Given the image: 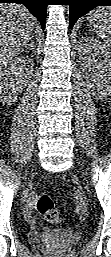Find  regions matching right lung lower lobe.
Wrapping results in <instances>:
<instances>
[{"instance_id":"1","label":"right lung lower lobe","mask_w":111,"mask_h":257,"mask_svg":"<svg viewBox=\"0 0 111 257\" xmlns=\"http://www.w3.org/2000/svg\"><path fill=\"white\" fill-rule=\"evenodd\" d=\"M49 0H0V3H17L23 4L29 9L41 23L42 28H45L47 4Z\"/></svg>"}]
</instances>
